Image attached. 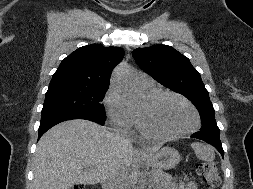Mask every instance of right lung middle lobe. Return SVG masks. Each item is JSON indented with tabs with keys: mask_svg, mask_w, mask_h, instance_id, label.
<instances>
[{
	"mask_svg": "<svg viewBox=\"0 0 253 189\" xmlns=\"http://www.w3.org/2000/svg\"><path fill=\"white\" fill-rule=\"evenodd\" d=\"M108 87L62 86L46 92L43 114L74 113L105 120L104 99Z\"/></svg>",
	"mask_w": 253,
	"mask_h": 189,
	"instance_id": "obj_1",
	"label": "right lung middle lobe"
}]
</instances>
